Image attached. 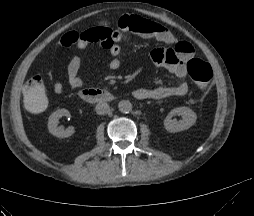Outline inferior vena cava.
Listing matches in <instances>:
<instances>
[{
    "label": "inferior vena cava",
    "mask_w": 254,
    "mask_h": 216,
    "mask_svg": "<svg viewBox=\"0 0 254 216\" xmlns=\"http://www.w3.org/2000/svg\"><path fill=\"white\" fill-rule=\"evenodd\" d=\"M95 111L99 115H104L110 111V106L107 102L100 101L97 103Z\"/></svg>",
    "instance_id": "602c4592"
}]
</instances>
